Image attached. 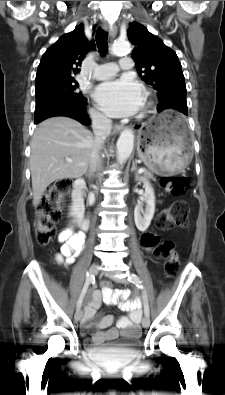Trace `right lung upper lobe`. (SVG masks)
<instances>
[{
	"label": "right lung upper lobe",
	"mask_w": 225,
	"mask_h": 395,
	"mask_svg": "<svg viewBox=\"0 0 225 395\" xmlns=\"http://www.w3.org/2000/svg\"><path fill=\"white\" fill-rule=\"evenodd\" d=\"M92 49H95V43L86 39L83 24L76 26L44 53L37 70L36 85L74 79L82 60Z\"/></svg>",
	"instance_id": "cb5924a9"
}]
</instances>
